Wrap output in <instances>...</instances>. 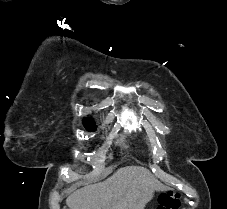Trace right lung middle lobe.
Masks as SVG:
<instances>
[{
  "mask_svg": "<svg viewBox=\"0 0 227 209\" xmlns=\"http://www.w3.org/2000/svg\"><path fill=\"white\" fill-rule=\"evenodd\" d=\"M83 123H84V126H85L88 130H90V131L95 130V125H94V123H93V121H92L91 119H85V120L83 121Z\"/></svg>",
  "mask_w": 227,
  "mask_h": 209,
  "instance_id": "right-lung-middle-lobe-1",
  "label": "right lung middle lobe"
}]
</instances>
